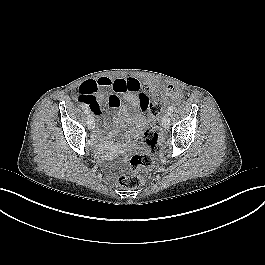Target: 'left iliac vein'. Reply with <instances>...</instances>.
Here are the masks:
<instances>
[{
	"label": "left iliac vein",
	"mask_w": 265,
	"mask_h": 265,
	"mask_svg": "<svg viewBox=\"0 0 265 265\" xmlns=\"http://www.w3.org/2000/svg\"><path fill=\"white\" fill-rule=\"evenodd\" d=\"M170 124V114L166 113L162 118V126L168 128Z\"/></svg>",
	"instance_id": "left-iliac-vein-1"
}]
</instances>
